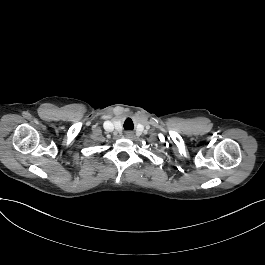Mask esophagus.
I'll return each instance as SVG.
<instances>
[{
  "instance_id": "1",
  "label": "esophagus",
  "mask_w": 265,
  "mask_h": 265,
  "mask_svg": "<svg viewBox=\"0 0 265 265\" xmlns=\"http://www.w3.org/2000/svg\"><path fill=\"white\" fill-rule=\"evenodd\" d=\"M133 134H134L133 132H127V133H126V136H127V137H130V135H133Z\"/></svg>"
}]
</instances>
